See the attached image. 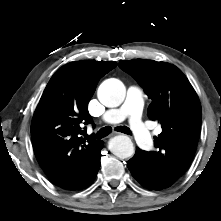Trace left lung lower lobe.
<instances>
[{"label":"left lung lower lobe","instance_id":"left-lung-lower-lobe-1","mask_svg":"<svg viewBox=\"0 0 221 221\" xmlns=\"http://www.w3.org/2000/svg\"><path fill=\"white\" fill-rule=\"evenodd\" d=\"M127 166L132 176L143 186L154 190L167 188L160 182L146 151L136 148V153Z\"/></svg>","mask_w":221,"mask_h":221}]
</instances>
